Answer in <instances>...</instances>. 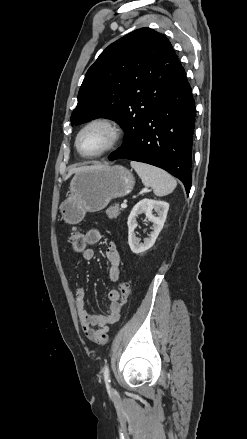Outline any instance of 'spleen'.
I'll return each instance as SVG.
<instances>
[{"mask_svg":"<svg viewBox=\"0 0 247 439\" xmlns=\"http://www.w3.org/2000/svg\"><path fill=\"white\" fill-rule=\"evenodd\" d=\"M130 165L135 169L142 183L146 187H151L156 196L168 195L177 186L176 180L158 167L137 161H131Z\"/></svg>","mask_w":247,"mask_h":439,"instance_id":"1","label":"spleen"}]
</instances>
